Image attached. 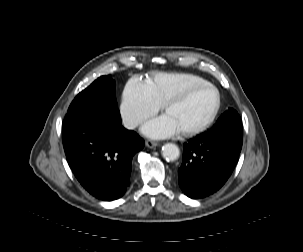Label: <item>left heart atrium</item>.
Here are the masks:
<instances>
[{
    "label": "left heart atrium",
    "instance_id": "obj_1",
    "mask_svg": "<svg viewBox=\"0 0 303 252\" xmlns=\"http://www.w3.org/2000/svg\"><path fill=\"white\" fill-rule=\"evenodd\" d=\"M177 132L178 128L167 115L155 117L142 127V133L154 139L169 138Z\"/></svg>",
    "mask_w": 303,
    "mask_h": 252
}]
</instances>
